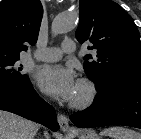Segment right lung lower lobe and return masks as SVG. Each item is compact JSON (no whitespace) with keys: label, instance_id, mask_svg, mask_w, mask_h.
Masks as SVG:
<instances>
[{"label":"right lung lower lobe","instance_id":"98d812e1","mask_svg":"<svg viewBox=\"0 0 141 139\" xmlns=\"http://www.w3.org/2000/svg\"><path fill=\"white\" fill-rule=\"evenodd\" d=\"M0 110L33 120L53 131L59 129L55 110L40 98L30 81L16 86H0Z\"/></svg>","mask_w":141,"mask_h":139}]
</instances>
